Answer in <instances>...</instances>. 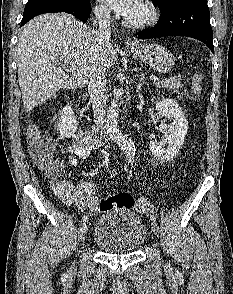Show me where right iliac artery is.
I'll use <instances>...</instances> for the list:
<instances>
[{
    "label": "right iliac artery",
    "instance_id": "right-iliac-artery-1",
    "mask_svg": "<svg viewBox=\"0 0 233 294\" xmlns=\"http://www.w3.org/2000/svg\"><path fill=\"white\" fill-rule=\"evenodd\" d=\"M115 173H116V170H114L113 175L111 174V178L115 175ZM87 219H88V216H87V215H84V216L82 217V221H86Z\"/></svg>",
    "mask_w": 233,
    "mask_h": 294
}]
</instances>
